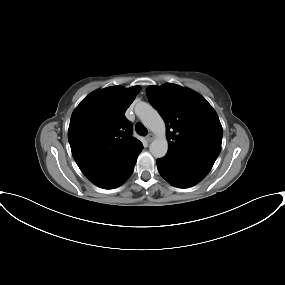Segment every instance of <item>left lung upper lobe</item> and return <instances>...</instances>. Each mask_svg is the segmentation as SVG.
I'll list each match as a JSON object with an SVG mask.
<instances>
[{
	"mask_svg": "<svg viewBox=\"0 0 285 285\" xmlns=\"http://www.w3.org/2000/svg\"><path fill=\"white\" fill-rule=\"evenodd\" d=\"M146 94L165 121L168 153L213 166L222 143L218 115L203 96L182 86H150Z\"/></svg>",
	"mask_w": 285,
	"mask_h": 285,
	"instance_id": "5c2ea615",
	"label": "left lung upper lobe"
}]
</instances>
